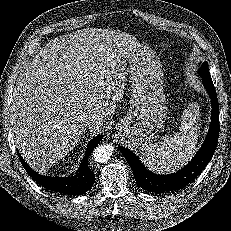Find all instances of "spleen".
Wrapping results in <instances>:
<instances>
[{
	"instance_id": "3e777b00",
	"label": "spleen",
	"mask_w": 231,
	"mask_h": 231,
	"mask_svg": "<svg viewBox=\"0 0 231 231\" xmlns=\"http://www.w3.org/2000/svg\"><path fill=\"white\" fill-rule=\"evenodd\" d=\"M198 104L192 103L185 109L179 131L172 136H163L159 143L143 147L141 156L152 171L171 172L191 159L196 150L198 131L200 129Z\"/></svg>"
}]
</instances>
